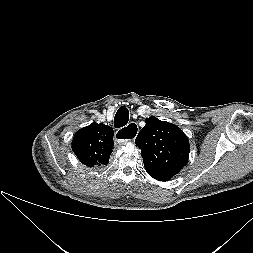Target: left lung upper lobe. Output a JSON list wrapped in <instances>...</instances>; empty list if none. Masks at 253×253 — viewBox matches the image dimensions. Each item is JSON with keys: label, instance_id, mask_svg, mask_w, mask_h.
<instances>
[{"label": "left lung upper lobe", "instance_id": "5c2ea615", "mask_svg": "<svg viewBox=\"0 0 253 253\" xmlns=\"http://www.w3.org/2000/svg\"><path fill=\"white\" fill-rule=\"evenodd\" d=\"M145 122L135 139L142 151L145 169L152 178L168 181L188 162V138L176 125L154 116Z\"/></svg>", "mask_w": 253, "mask_h": 253}]
</instances>
